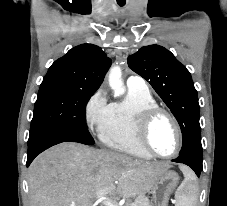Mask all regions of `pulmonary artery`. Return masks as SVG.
<instances>
[{
	"label": "pulmonary artery",
	"mask_w": 227,
	"mask_h": 206,
	"mask_svg": "<svg viewBox=\"0 0 227 206\" xmlns=\"http://www.w3.org/2000/svg\"><path fill=\"white\" fill-rule=\"evenodd\" d=\"M128 89L137 91H148L145 80L139 76H129L126 81Z\"/></svg>",
	"instance_id": "e3ab8cb5"
}]
</instances>
